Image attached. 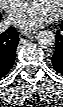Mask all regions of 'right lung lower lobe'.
I'll return each mask as SVG.
<instances>
[{
    "instance_id": "obj_1",
    "label": "right lung lower lobe",
    "mask_w": 63,
    "mask_h": 107,
    "mask_svg": "<svg viewBox=\"0 0 63 107\" xmlns=\"http://www.w3.org/2000/svg\"><path fill=\"white\" fill-rule=\"evenodd\" d=\"M18 42L19 38L14 27L0 34V78L5 76L13 65Z\"/></svg>"
}]
</instances>
